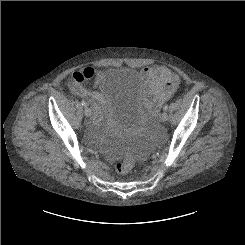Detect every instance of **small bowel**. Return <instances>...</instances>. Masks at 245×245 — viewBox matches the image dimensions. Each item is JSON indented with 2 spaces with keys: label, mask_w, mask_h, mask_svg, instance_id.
<instances>
[{
  "label": "small bowel",
  "mask_w": 245,
  "mask_h": 245,
  "mask_svg": "<svg viewBox=\"0 0 245 245\" xmlns=\"http://www.w3.org/2000/svg\"><path fill=\"white\" fill-rule=\"evenodd\" d=\"M102 76L103 72L96 75L95 70L90 67L77 70L73 72L68 83L69 89L74 94L87 98L92 106H96L101 99V95L86 88L84 83L93 78L97 83ZM139 78L144 84V92L149 101L157 104L169 100L180 86V79L177 74L164 66L144 67L139 72Z\"/></svg>",
  "instance_id": "small-bowel-1"
}]
</instances>
